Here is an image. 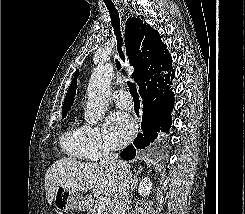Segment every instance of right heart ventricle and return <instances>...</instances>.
I'll list each match as a JSON object with an SVG mask.
<instances>
[{
	"mask_svg": "<svg viewBox=\"0 0 245 214\" xmlns=\"http://www.w3.org/2000/svg\"><path fill=\"white\" fill-rule=\"evenodd\" d=\"M62 150L72 159H84L82 126L71 124L60 138Z\"/></svg>",
	"mask_w": 245,
	"mask_h": 214,
	"instance_id": "right-heart-ventricle-1",
	"label": "right heart ventricle"
}]
</instances>
